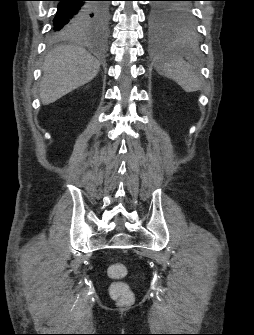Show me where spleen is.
Wrapping results in <instances>:
<instances>
[{
  "mask_svg": "<svg viewBox=\"0 0 254 335\" xmlns=\"http://www.w3.org/2000/svg\"><path fill=\"white\" fill-rule=\"evenodd\" d=\"M157 62L158 72L174 80L184 91L191 93L201 89L199 75L172 46L163 51Z\"/></svg>",
  "mask_w": 254,
  "mask_h": 335,
  "instance_id": "obj_1",
  "label": "spleen"
}]
</instances>
